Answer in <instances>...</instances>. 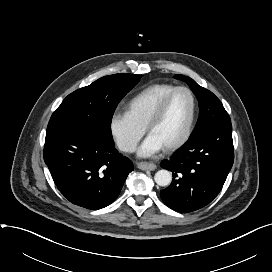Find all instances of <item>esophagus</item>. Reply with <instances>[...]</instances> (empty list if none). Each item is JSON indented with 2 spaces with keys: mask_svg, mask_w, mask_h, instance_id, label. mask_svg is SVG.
<instances>
[{
  "mask_svg": "<svg viewBox=\"0 0 272 272\" xmlns=\"http://www.w3.org/2000/svg\"><path fill=\"white\" fill-rule=\"evenodd\" d=\"M137 167L141 170H154L156 169V165L152 162H138Z\"/></svg>",
  "mask_w": 272,
  "mask_h": 272,
  "instance_id": "34e87169",
  "label": "esophagus"
}]
</instances>
